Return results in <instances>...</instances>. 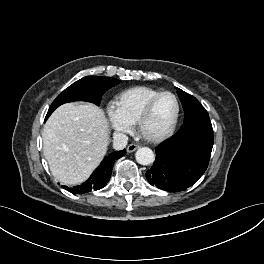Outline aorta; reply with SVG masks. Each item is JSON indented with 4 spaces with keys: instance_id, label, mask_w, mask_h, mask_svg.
<instances>
[{
    "instance_id": "obj_1",
    "label": "aorta",
    "mask_w": 264,
    "mask_h": 264,
    "mask_svg": "<svg viewBox=\"0 0 264 264\" xmlns=\"http://www.w3.org/2000/svg\"><path fill=\"white\" fill-rule=\"evenodd\" d=\"M136 161L141 165H149L154 161V153L148 147H141L136 151Z\"/></svg>"
}]
</instances>
